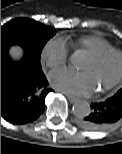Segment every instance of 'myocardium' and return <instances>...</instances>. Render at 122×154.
Wrapping results in <instances>:
<instances>
[{"label": "myocardium", "mask_w": 122, "mask_h": 154, "mask_svg": "<svg viewBox=\"0 0 122 154\" xmlns=\"http://www.w3.org/2000/svg\"><path fill=\"white\" fill-rule=\"evenodd\" d=\"M110 57L118 58L119 69L116 77L109 84L98 89V92H101V93L107 92L117 87L122 82V52L119 50L111 49V50L90 55V59L96 64H101L105 62L107 59H109Z\"/></svg>", "instance_id": "f54148a6"}]
</instances>
